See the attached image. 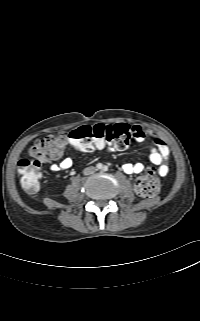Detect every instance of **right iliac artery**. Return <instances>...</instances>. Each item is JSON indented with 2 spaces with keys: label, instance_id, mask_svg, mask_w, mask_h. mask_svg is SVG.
I'll return each mask as SVG.
<instances>
[{
  "label": "right iliac artery",
  "instance_id": "right-iliac-artery-1",
  "mask_svg": "<svg viewBox=\"0 0 200 321\" xmlns=\"http://www.w3.org/2000/svg\"><path fill=\"white\" fill-rule=\"evenodd\" d=\"M96 167L98 168V169H102V164L101 163H98L97 165H96Z\"/></svg>",
  "mask_w": 200,
  "mask_h": 321
}]
</instances>
